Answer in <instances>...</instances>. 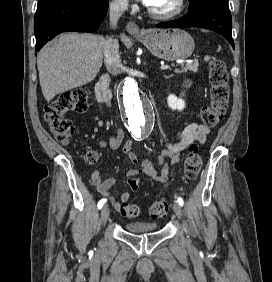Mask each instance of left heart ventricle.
<instances>
[{"label": "left heart ventricle", "mask_w": 272, "mask_h": 282, "mask_svg": "<svg viewBox=\"0 0 272 282\" xmlns=\"http://www.w3.org/2000/svg\"><path fill=\"white\" fill-rule=\"evenodd\" d=\"M149 7L157 12L169 13L177 9L178 0H151Z\"/></svg>", "instance_id": "1"}]
</instances>
